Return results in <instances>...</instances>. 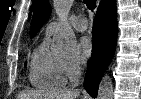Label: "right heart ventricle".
Returning a JSON list of instances; mask_svg holds the SVG:
<instances>
[{
	"label": "right heart ventricle",
	"instance_id": "1",
	"mask_svg": "<svg viewBox=\"0 0 141 99\" xmlns=\"http://www.w3.org/2000/svg\"><path fill=\"white\" fill-rule=\"evenodd\" d=\"M50 33L34 50L29 70L30 83L45 90L58 89L65 85L64 61L53 54L49 48Z\"/></svg>",
	"mask_w": 141,
	"mask_h": 99
}]
</instances>
